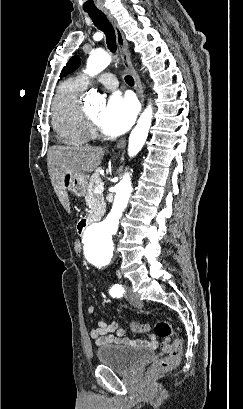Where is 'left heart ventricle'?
Here are the masks:
<instances>
[{"label": "left heart ventricle", "mask_w": 243, "mask_h": 409, "mask_svg": "<svg viewBox=\"0 0 243 409\" xmlns=\"http://www.w3.org/2000/svg\"><path fill=\"white\" fill-rule=\"evenodd\" d=\"M101 111H102V107H93L87 110L89 115L95 120L97 124H98L99 115Z\"/></svg>", "instance_id": "1"}]
</instances>
